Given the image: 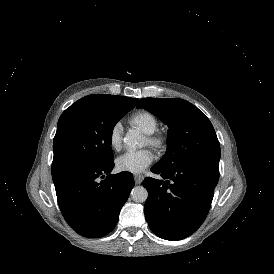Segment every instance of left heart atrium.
Instances as JSON below:
<instances>
[{
  "instance_id": "39dd6f15",
  "label": "left heart atrium",
  "mask_w": 274,
  "mask_h": 274,
  "mask_svg": "<svg viewBox=\"0 0 274 274\" xmlns=\"http://www.w3.org/2000/svg\"><path fill=\"white\" fill-rule=\"evenodd\" d=\"M152 161V152L149 149H141L118 156L115 165L119 171L138 173L148 167Z\"/></svg>"
}]
</instances>
